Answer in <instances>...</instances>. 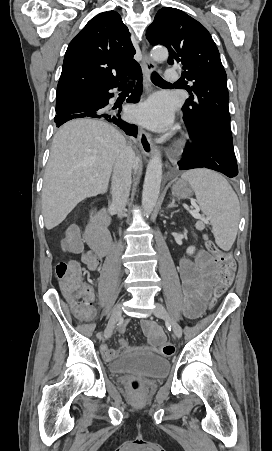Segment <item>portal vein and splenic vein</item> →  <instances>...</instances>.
Masks as SVG:
<instances>
[{
	"mask_svg": "<svg viewBox=\"0 0 272 451\" xmlns=\"http://www.w3.org/2000/svg\"><path fill=\"white\" fill-rule=\"evenodd\" d=\"M190 214L191 216H193V218H197V220H199V218H201L200 214H198L197 210H190Z\"/></svg>",
	"mask_w": 272,
	"mask_h": 451,
	"instance_id": "18ae733b",
	"label": "portal vein and splenic vein"
}]
</instances>
